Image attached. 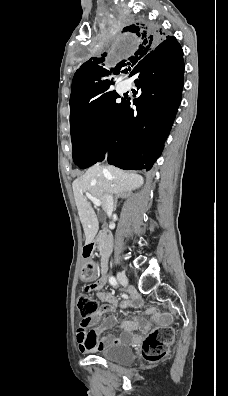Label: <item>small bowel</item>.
I'll use <instances>...</instances> for the list:
<instances>
[{
  "label": "small bowel",
  "mask_w": 228,
  "mask_h": 396,
  "mask_svg": "<svg viewBox=\"0 0 228 396\" xmlns=\"http://www.w3.org/2000/svg\"><path fill=\"white\" fill-rule=\"evenodd\" d=\"M83 273L85 277H93V265L91 263H86L83 267ZM107 281V276L104 274L100 276L98 280L85 287V291L94 294L97 300L101 303L99 310L92 318V324L97 323L105 312L112 311L118 306L130 309L140 305V301L136 297L124 300L120 303L118 298L113 293L103 290V287L105 286ZM116 322L117 316L110 315L105 318V320L98 327L91 329L90 331H87L86 328L79 327L77 330V342L80 352H94L111 344L129 341L132 339L133 330L136 329L138 326L143 329L148 328V323L144 319H139L138 321H124L121 323L123 333L119 338L113 336H104L102 338H99V335L104 330L111 328L115 325Z\"/></svg>",
  "instance_id": "obj_1"
}]
</instances>
